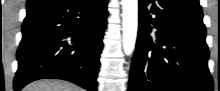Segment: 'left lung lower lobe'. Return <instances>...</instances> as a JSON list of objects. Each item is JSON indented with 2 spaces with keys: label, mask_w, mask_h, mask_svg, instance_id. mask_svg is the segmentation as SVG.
<instances>
[{
  "label": "left lung lower lobe",
  "mask_w": 220,
  "mask_h": 91,
  "mask_svg": "<svg viewBox=\"0 0 220 91\" xmlns=\"http://www.w3.org/2000/svg\"><path fill=\"white\" fill-rule=\"evenodd\" d=\"M202 19L191 0H139L129 91H212Z\"/></svg>",
  "instance_id": "obj_1"
}]
</instances>
